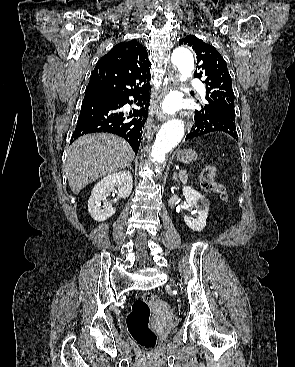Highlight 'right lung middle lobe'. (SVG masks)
Here are the masks:
<instances>
[{
	"label": "right lung middle lobe",
	"instance_id": "1",
	"mask_svg": "<svg viewBox=\"0 0 295 367\" xmlns=\"http://www.w3.org/2000/svg\"><path fill=\"white\" fill-rule=\"evenodd\" d=\"M97 95H111V94L97 89H86L85 96H97Z\"/></svg>",
	"mask_w": 295,
	"mask_h": 367
}]
</instances>
